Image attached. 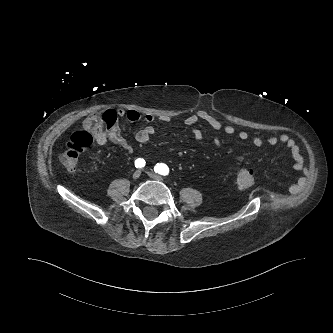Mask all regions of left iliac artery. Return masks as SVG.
<instances>
[{
  "mask_svg": "<svg viewBox=\"0 0 333 333\" xmlns=\"http://www.w3.org/2000/svg\"><path fill=\"white\" fill-rule=\"evenodd\" d=\"M154 171L158 174H161L163 176H166L169 174V168L164 163H157L154 167Z\"/></svg>",
  "mask_w": 333,
  "mask_h": 333,
  "instance_id": "left-iliac-artery-1",
  "label": "left iliac artery"
}]
</instances>
